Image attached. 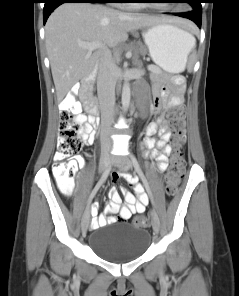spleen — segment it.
Masks as SVG:
<instances>
[{
    "label": "spleen",
    "instance_id": "obj_1",
    "mask_svg": "<svg viewBox=\"0 0 239 296\" xmlns=\"http://www.w3.org/2000/svg\"><path fill=\"white\" fill-rule=\"evenodd\" d=\"M191 43H192V47L195 45V39L193 36H191ZM192 49V48H191ZM189 70H191V65L189 66Z\"/></svg>",
    "mask_w": 239,
    "mask_h": 296
}]
</instances>
